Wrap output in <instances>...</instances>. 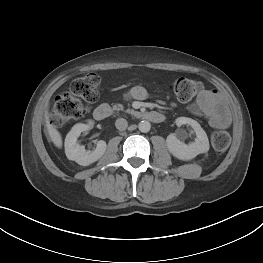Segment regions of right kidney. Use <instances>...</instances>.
Listing matches in <instances>:
<instances>
[{
	"instance_id": "ca27d5eb",
	"label": "right kidney",
	"mask_w": 263,
	"mask_h": 263,
	"mask_svg": "<svg viewBox=\"0 0 263 263\" xmlns=\"http://www.w3.org/2000/svg\"><path fill=\"white\" fill-rule=\"evenodd\" d=\"M93 122L89 124H75L65 138V153L69 160L77 162L79 165L88 166L99 160L106 151L107 145L103 140L98 141L95 150L86 151L84 146L77 143V138L84 131H87Z\"/></svg>"
}]
</instances>
